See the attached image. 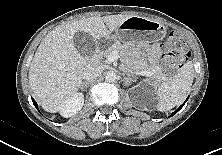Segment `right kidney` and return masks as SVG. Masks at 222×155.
Masks as SVG:
<instances>
[{
    "label": "right kidney",
    "mask_w": 222,
    "mask_h": 155,
    "mask_svg": "<svg viewBox=\"0 0 222 155\" xmlns=\"http://www.w3.org/2000/svg\"><path fill=\"white\" fill-rule=\"evenodd\" d=\"M84 104V95L82 93H76L73 95L62 107L60 114L65 117H71L80 111Z\"/></svg>",
    "instance_id": "obj_1"
}]
</instances>
